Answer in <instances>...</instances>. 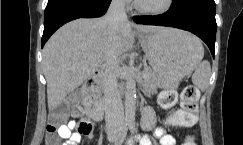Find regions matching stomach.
Listing matches in <instances>:
<instances>
[{
	"label": "stomach",
	"instance_id": "1",
	"mask_svg": "<svg viewBox=\"0 0 243 145\" xmlns=\"http://www.w3.org/2000/svg\"><path fill=\"white\" fill-rule=\"evenodd\" d=\"M146 57L157 75V85L175 88L197 66L203 47L192 34L174 28L139 35Z\"/></svg>",
	"mask_w": 243,
	"mask_h": 145
}]
</instances>
